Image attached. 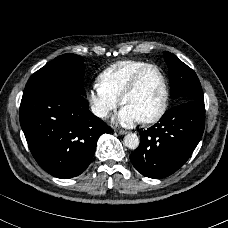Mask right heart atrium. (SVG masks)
Masks as SVG:
<instances>
[{
    "label": "right heart atrium",
    "instance_id": "obj_1",
    "mask_svg": "<svg viewBox=\"0 0 228 228\" xmlns=\"http://www.w3.org/2000/svg\"><path fill=\"white\" fill-rule=\"evenodd\" d=\"M87 98L92 112L102 119L119 105V100L103 90L96 81L89 89Z\"/></svg>",
    "mask_w": 228,
    "mask_h": 228
}]
</instances>
